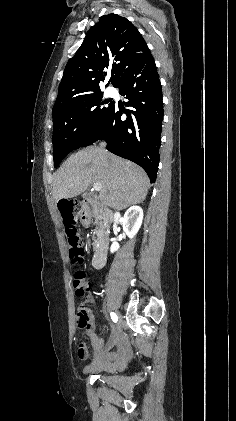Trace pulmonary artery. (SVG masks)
<instances>
[{
	"label": "pulmonary artery",
	"instance_id": "obj_1",
	"mask_svg": "<svg viewBox=\"0 0 236 421\" xmlns=\"http://www.w3.org/2000/svg\"><path fill=\"white\" fill-rule=\"evenodd\" d=\"M115 95V92H114V90L113 89H111V88H107L106 90H105V96H107V97H111V96H114Z\"/></svg>",
	"mask_w": 236,
	"mask_h": 421
}]
</instances>
